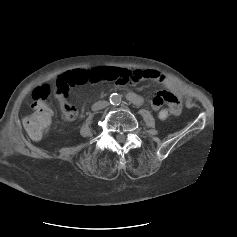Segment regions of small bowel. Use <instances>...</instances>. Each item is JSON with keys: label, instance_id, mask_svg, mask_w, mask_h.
Wrapping results in <instances>:
<instances>
[{"label": "small bowel", "instance_id": "obj_1", "mask_svg": "<svg viewBox=\"0 0 237 237\" xmlns=\"http://www.w3.org/2000/svg\"><path fill=\"white\" fill-rule=\"evenodd\" d=\"M129 74L133 81L149 79L154 82L163 84L166 87V90L157 92L151 100V106L155 111L160 110L163 104L168 105L170 109L173 110L174 115H178L181 112L183 98L180 94L175 83L170 79L164 77L161 73L154 70H124ZM128 99L133 103H139L140 97L135 93H129ZM60 104L62 108L64 107L66 100L62 97H59ZM63 116L66 120H72L75 116H68L63 111Z\"/></svg>", "mask_w": 237, "mask_h": 237}]
</instances>
